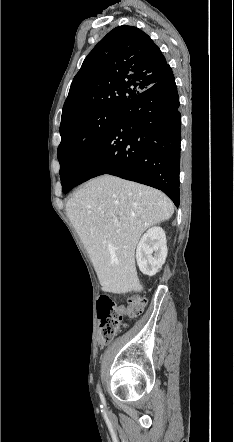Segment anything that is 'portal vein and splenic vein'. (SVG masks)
Returning <instances> with one entry per match:
<instances>
[{"label":"portal vein and splenic vein","instance_id":"18ae733b","mask_svg":"<svg viewBox=\"0 0 234 442\" xmlns=\"http://www.w3.org/2000/svg\"><path fill=\"white\" fill-rule=\"evenodd\" d=\"M115 226H116V227H119V224H118V222H115Z\"/></svg>","mask_w":234,"mask_h":442}]
</instances>
